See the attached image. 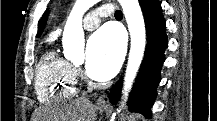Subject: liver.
I'll use <instances>...</instances> for the list:
<instances>
[{"instance_id": "obj_1", "label": "liver", "mask_w": 217, "mask_h": 121, "mask_svg": "<svg viewBox=\"0 0 217 121\" xmlns=\"http://www.w3.org/2000/svg\"><path fill=\"white\" fill-rule=\"evenodd\" d=\"M39 119L40 121H95V107L86 99H77L69 104L42 109Z\"/></svg>"}]
</instances>
